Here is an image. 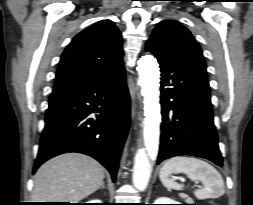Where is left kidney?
<instances>
[{
	"instance_id": "obj_1",
	"label": "left kidney",
	"mask_w": 253,
	"mask_h": 205,
	"mask_svg": "<svg viewBox=\"0 0 253 205\" xmlns=\"http://www.w3.org/2000/svg\"><path fill=\"white\" fill-rule=\"evenodd\" d=\"M154 204H180V203L170 198L160 197L155 200Z\"/></svg>"
}]
</instances>
